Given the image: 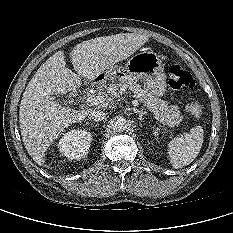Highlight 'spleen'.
<instances>
[{"mask_svg": "<svg viewBox=\"0 0 233 233\" xmlns=\"http://www.w3.org/2000/svg\"><path fill=\"white\" fill-rule=\"evenodd\" d=\"M203 135V127L196 126L188 134L175 137L168 143V155L173 168L179 169L194 161L202 147Z\"/></svg>", "mask_w": 233, "mask_h": 233, "instance_id": "1", "label": "spleen"}]
</instances>
